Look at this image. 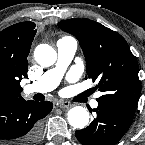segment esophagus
Instances as JSON below:
<instances>
[{"label": "esophagus", "instance_id": "34e87169", "mask_svg": "<svg viewBox=\"0 0 145 145\" xmlns=\"http://www.w3.org/2000/svg\"><path fill=\"white\" fill-rule=\"evenodd\" d=\"M57 105H58V107H60V108H62V109H64V108H69V107L72 106L70 102H68V101H63V100L59 101Z\"/></svg>", "mask_w": 145, "mask_h": 145}]
</instances>
